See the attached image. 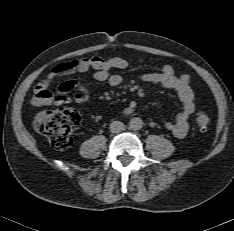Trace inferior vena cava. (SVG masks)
<instances>
[{
    "label": "inferior vena cava",
    "mask_w": 234,
    "mask_h": 231,
    "mask_svg": "<svg viewBox=\"0 0 234 231\" xmlns=\"http://www.w3.org/2000/svg\"><path fill=\"white\" fill-rule=\"evenodd\" d=\"M125 129V125L120 121H113L110 124V131L112 133H119Z\"/></svg>",
    "instance_id": "1"
}]
</instances>
